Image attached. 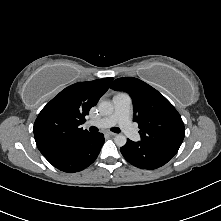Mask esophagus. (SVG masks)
Segmentation results:
<instances>
[{
    "mask_svg": "<svg viewBox=\"0 0 221 221\" xmlns=\"http://www.w3.org/2000/svg\"><path fill=\"white\" fill-rule=\"evenodd\" d=\"M106 134H108L110 136H116L117 135L116 133H113V132H107Z\"/></svg>",
    "mask_w": 221,
    "mask_h": 221,
    "instance_id": "obj_1",
    "label": "esophagus"
}]
</instances>
